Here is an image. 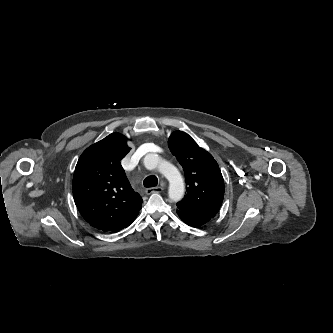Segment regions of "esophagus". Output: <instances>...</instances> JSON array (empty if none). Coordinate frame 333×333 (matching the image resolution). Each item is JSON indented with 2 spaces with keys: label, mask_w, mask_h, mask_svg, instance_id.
I'll use <instances>...</instances> for the list:
<instances>
[{
  "label": "esophagus",
  "mask_w": 333,
  "mask_h": 333,
  "mask_svg": "<svg viewBox=\"0 0 333 333\" xmlns=\"http://www.w3.org/2000/svg\"><path fill=\"white\" fill-rule=\"evenodd\" d=\"M163 191V188L158 186V187H154V188H147L146 189V194L150 195L152 193H161Z\"/></svg>",
  "instance_id": "obj_1"
}]
</instances>
